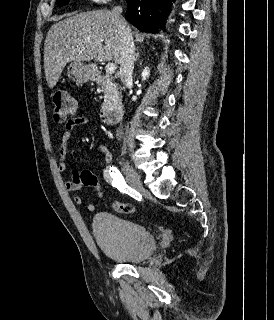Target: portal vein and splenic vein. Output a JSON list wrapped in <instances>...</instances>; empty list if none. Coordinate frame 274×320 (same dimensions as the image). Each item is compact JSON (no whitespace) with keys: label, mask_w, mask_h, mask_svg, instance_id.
<instances>
[{"label":"portal vein and splenic vein","mask_w":274,"mask_h":320,"mask_svg":"<svg viewBox=\"0 0 274 320\" xmlns=\"http://www.w3.org/2000/svg\"><path fill=\"white\" fill-rule=\"evenodd\" d=\"M105 70L106 74H113V72L116 70L115 64H107V66H105Z\"/></svg>","instance_id":"obj_1"}]
</instances>
